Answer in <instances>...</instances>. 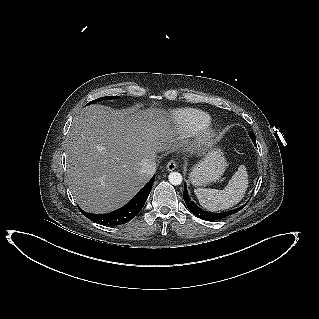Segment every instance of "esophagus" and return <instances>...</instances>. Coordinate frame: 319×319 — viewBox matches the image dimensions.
I'll list each match as a JSON object with an SVG mask.
<instances>
[{
    "label": "esophagus",
    "mask_w": 319,
    "mask_h": 319,
    "mask_svg": "<svg viewBox=\"0 0 319 319\" xmlns=\"http://www.w3.org/2000/svg\"><path fill=\"white\" fill-rule=\"evenodd\" d=\"M177 168V163H176V161L175 160H170L168 163H167V165H166V169L168 170V171H173V170H175Z\"/></svg>",
    "instance_id": "1"
}]
</instances>
